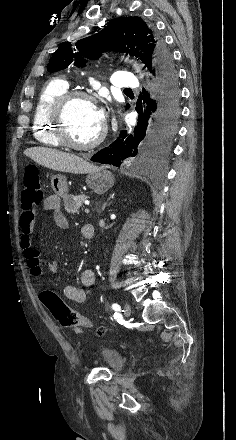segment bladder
I'll return each mask as SVG.
<instances>
[{
  "label": "bladder",
  "instance_id": "1",
  "mask_svg": "<svg viewBox=\"0 0 236 440\" xmlns=\"http://www.w3.org/2000/svg\"><path fill=\"white\" fill-rule=\"evenodd\" d=\"M100 358L109 370H119L123 364L121 355L112 348H103L100 351Z\"/></svg>",
  "mask_w": 236,
  "mask_h": 440
}]
</instances>
